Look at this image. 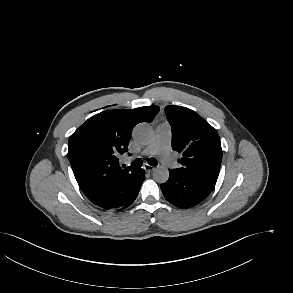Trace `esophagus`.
<instances>
[{
	"instance_id": "1",
	"label": "esophagus",
	"mask_w": 293,
	"mask_h": 293,
	"mask_svg": "<svg viewBox=\"0 0 293 293\" xmlns=\"http://www.w3.org/2000/svg\"><path fill=\"white\" fill-rule=\"evenodd\" d=\"M156 168L154 166H151V165H148V164H145L144 165V170L147 171V172H153Z\"/></svg>"
}]
</instances>
